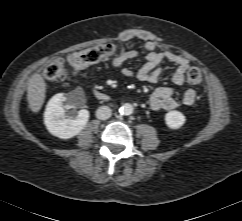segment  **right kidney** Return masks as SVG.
Here are the masks:
<instances>
[{
  "instance_id": "right-kidney-1",
  "label": "right kidney",
  "mask_w": 242,
  "mask_h": 221,
  "mask_svg": "<svg viewBox=\"0 0 242 221\" xmlns=\"http://www.w3.org/2000/svg\"><path fill=\"white\" fill-rule=\"evenodd\" d=\"M64 102H66L68 108L77 106L72 98L66 97L63 93L54 95L46 106L44 123L52 135L61 139H69L78 135L84 129L89 119V112L86 109H81L75 119L65 118Z\"/></svg>"
}]
</instances>
